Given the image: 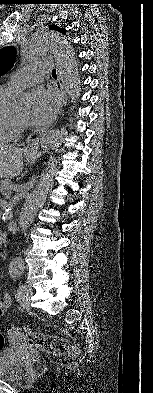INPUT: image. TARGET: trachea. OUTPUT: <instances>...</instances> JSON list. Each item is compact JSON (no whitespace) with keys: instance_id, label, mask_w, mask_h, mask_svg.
I'll return each instance as SVG.
<instances>
[{"instance_id":"trachea-1","label":"trachea","mask_w":153,"mask_h":393,"mask_svg":"<svg viewBox=\"0 0 153 393\" xmlns=\"http://www.w3.org/2000/svg\"><path fill=\"white\" fill-rule=\"evenodd\" d=\"M52 75H53V76H56V69H53V70H52Z\"/></svg>"}]
</instances>
